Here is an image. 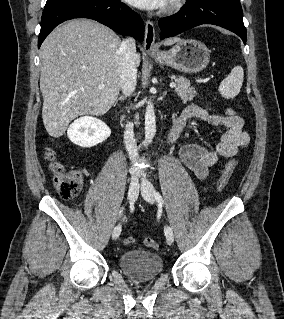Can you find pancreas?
I'll return each mask as SVG.
<instances>
[{
  "label": "pancreas",
  "mask_w": 284,
  "mask_h": 319,
  "mask_svg": "<svg viewBox=\"0 0 284 319\" xmlns=\"http://www.w3.org/2000/svg\"><path fill=\"white\" fill-rule=\"evenodd\" d=\"M177 87L175 91L181 97L183 102L191 101L196 96V90L194 87H191L190 81L183 77L179 76L175 79Z\"/></svg>",
  "instance_id": "cf45deb5"
}]
</instances>
